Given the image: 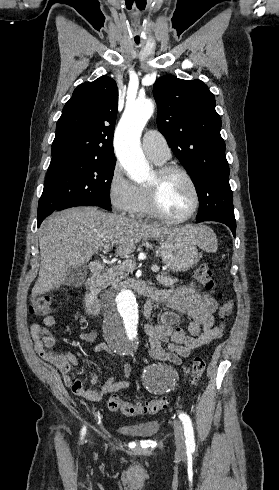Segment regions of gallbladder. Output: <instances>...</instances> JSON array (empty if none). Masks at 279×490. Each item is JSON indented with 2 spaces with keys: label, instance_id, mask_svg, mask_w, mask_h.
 <instances>
[{
  "label": "gallbladder",
  "instance_id": "bac80fb5",
  "mask_svg": "<svg viewBox=\"0 0 279 490\" xmlns=\"http://www.w3.org/2000/svg\"><path fill=\"white\" fill-rule=\"evenodd\" d=\"M88 268L87 266H71L67 272V276L64 278L65 286L70 288H80L87 280Z\"/></svg>",
  "mask_w": 279,
  "mask_h": 490
}]
</instances>
